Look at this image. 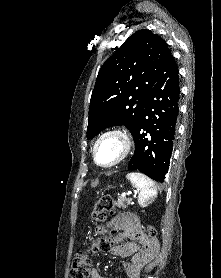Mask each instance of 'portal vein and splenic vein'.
<instances>
[{
    "instance_id": "1",
    "label": "portal vein and splenic vein",
    "mask_w": 221,
    "mask_h": 278,
    "mask_svg": "<svg viewBox=\"0 0 221 278\" xmlns=\"http://www.w3.org/2000/svg\"><path fill=\"white\" fill-rule=\"evenodd\" d=\"M126 194L125 193H123V196H125ZM128 200H130L131 201V199L129 198Z\"/></svg>"
}]
</instances>
